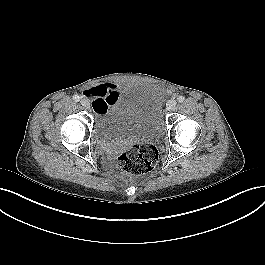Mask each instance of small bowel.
<instances>
[{
  "mask_svg": "<svg viewBox=\"0 0 265 265\" xmlns=\"http://www.w3.org/2000/svg\"><path fill=\"white\" fill-rule=\"evenodd\" d=\"M121 92V87L116 83L107 82L98 86H92L84 91V95L92 98L93 109L103 114L107 107L113 102Z\"/></svg>",
  "mask_w": 265,
  "mask_h": 265,
  "instance_id": "c3829d8e",
  "label": "small bowel"
}]
</instances>
